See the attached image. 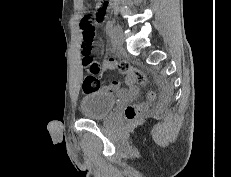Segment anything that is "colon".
<instances>
[{
    "label": "colon",
    "instance_id": "colon-1",
    "mask_svg": "<svg viewBox=\"0 0 231 177\" xmlns=\"http://www.w3.org/2000/svg\"><path fill=\"white\" fill-rule=\"evenodd\" d=\"M81 29L83 33V46H82V61L86 74L82 78V89L85 93L95 91L102 88L97 75L99 74L98 62L92 57V50L95 40V26L88 17L81 21ZM111 63L117 66L120 72L128 74V76L140 85L147 82L145 73L124 60L108 59ZM107 88V87H105ZM153 97V92L148 93V98ZM144 110V104L138 103L130 105L126 108V116L128 119L137 118Z\"/></svg>",
    "mask_w": 231,
    "mask_h": 177
}]
</instances>
